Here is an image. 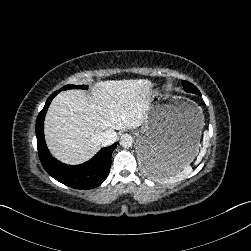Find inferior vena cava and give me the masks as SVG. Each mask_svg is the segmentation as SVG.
Returning <instances> with one entry per match:
<instances>
[{
    "label": "inferior vena cava",
    "mask_w": 251,
    "mask_h": 251,
    "mask_svg": "<svg viewBox=\"0 0 251 251\" xmlns=\"http://www.w3.org/2000/svg\"><path fill=\"white\" fill-rule=\"evenodd\" d=\"M117 141V133L113 130H106L100 134V142L103 147L112 145Z\"/></svg>",
    "instance_id": "602c4592"
}]
</instances>
